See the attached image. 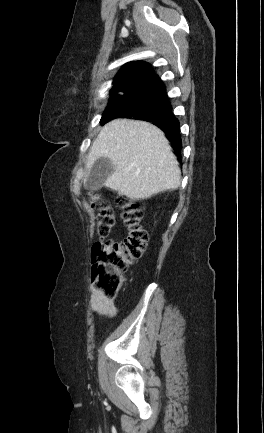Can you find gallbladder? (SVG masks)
<instances>
[{
  "label": "gallbladder",
  "mask_w": 264,
  "mask_h": 433,
  "mask_svg": "<svg viewBox=\"0 0 264 433\" xmlns=\"http://www.w3.org/2000/svg\"><path fill=\"white\" fill-rule=\"evenodd\" d=\"M114 172L112 161L106 157L98 158L90 169L84 180V187L87 190H98L104 186L105 181Z\"/></svg>",
  "instance_id": "obj_1"
}]
</instances>
